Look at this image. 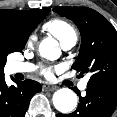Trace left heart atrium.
Returning <instances> with one entry per match:
<instances>
[{"instance_id":"left-heart-atrium-1","label":"left heart atrium","mask_w":117,"mask_h":117,"mask_svg":"<svg viewBox=\"0 0 117 117\" xmlns=\"http://www.w3.org/2000/svg\"><path fill=\"white\" fill-rule=\"evenodd\" d=\"M52 72H53V69H52V67H49V66H45L41 70V73L46 77H51Z\"/></svg>"}]
</instances>
